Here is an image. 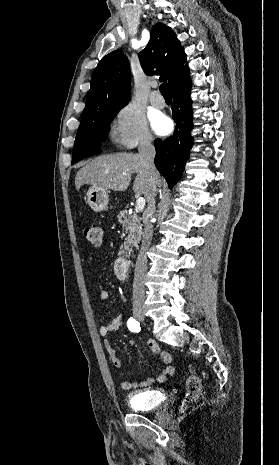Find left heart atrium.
Segmentation results:
<instances>
[{
	"label": "left heart atrium",
	"instance_id": "obj_1",
	"mask_svg": "<svg viewBox=\"0 0 279 465\" xmlns=\"http://www.w3.org/2000/svg\"><path fill=\"white\" fill-rule=\"evenodd\" d=\"M153 129L160 135L167 134L171 129V121L164 115H156L152 119Z\"/></svg>",
	"mask_w": 279,
	"mask_h": 465
}]
</instances>
